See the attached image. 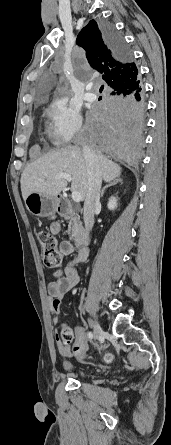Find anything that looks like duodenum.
Masks as SVG:
<instances>
[{"mask_svg":"<svg viewBox=\"0 0 171 445\" xmlns=\"http://www.w3.org/2000/svg\"><path fill=\"white\" fill-rule=\"evenodd\" d=\"M57 211L60 216H68L73 213V209L71 208L69 202L63 197L58 198ZM89 240H90L89 230L87 228H80L76 236V241L78 245L84 249Z\"/></svg>","mask_w":171,"mask_h":445,"instance_id":"obj_1","label":"duodenum"}]
</instances>
